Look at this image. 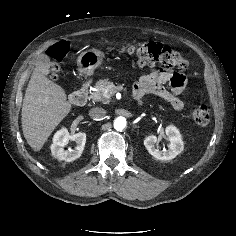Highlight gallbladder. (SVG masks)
Returning a JSON list of instances; mask_svg holds the SVG:
<instances>
[{"label":"gallbladder","instance_id":"gallbladder-1","mask_svg":"<svg viewBox=\"0 0 236 236\" xmlns=\"http://www.w3.org/2000/svg\"><path fill=\"white\" fill-rule=\"evenodd\" d=\"M37 64L46 72H49L50 68V59L47 55L43 54L38 57Z\"/></svg>","mask_w":236,"mask_h":236}]
</instances>
